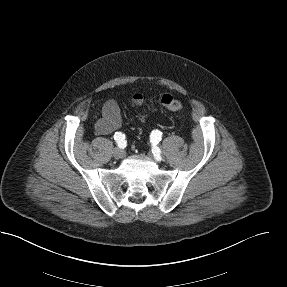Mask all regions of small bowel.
I'll return each instance as SVG.
<instances>
[{
  "mask_svg": "<svg viewBox=\"0 0 287 287\" xmlns=\"http://www.w3.org/2000/svg\"><path fill=\"white\" fill-rule=\"evenodd\" d=\"M121 125V112L115 100L107 101L102 114L95 123V131L100 135H108L116 131Z\"/></svg>",
  "mask_w": 287,
  "mask_h": 287,
  "instance_id": "obj_1",
  "label": "small bowel"
}]
</instances>
